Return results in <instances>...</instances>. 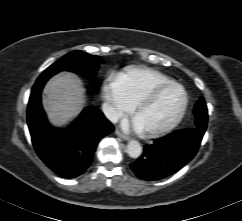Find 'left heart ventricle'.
Returning <instances> with one entry per match:
<instances>
[{
  "label": "left heart ventricle",
  "mask_w": 242,
  "mask_h": 221,
  "mask_svg": "<svg viewBox=\"0 0 242 221\" xmlns=\"http://www.w3.org/2000/svg\"><path fill=\"white\" fill-rule=\"evenodd\" d=\"M183 102V93L177 87L164 91L158 99L135 115L143 131L158 129L170 122Z\"/></svg>",
  "instance_id": "obj_1"
}]
</instances>
